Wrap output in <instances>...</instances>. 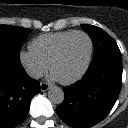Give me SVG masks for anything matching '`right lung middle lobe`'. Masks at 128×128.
<instances>
[{"label":"right lung middle lobe","instance_id":"right-lung-middle-lobe-1","mask_svg":"<svg viewBox=\"0 0 128 128\" xmlns=\"http://www.w3.org/2000/svg\"><path fill=\"white\" fill-rule=\"evenodd\" d=\"M32 29L0 25V57L21 64L20 48Z\"/></svg>","mask_w":128,"mask_h":128}]
</instances>
